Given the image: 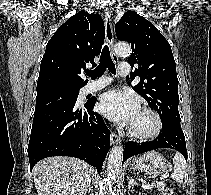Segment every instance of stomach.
<instances>
[{"mask_svg": "<svg viewBox=\"0 0 211 195\" xmlns=\"http://www.w3.org/2000/svg\"><path fill=\"white\" fill-rule=\"evenodd\" d=\"M131 170L141 171L152 176L163 174L167 170L166 160L156 151H150L130 163Z\"/></svg>", "mask_w": 211, "mask_h": 195, "instance_id": "1", "label": "stomach"}]
</instances>
